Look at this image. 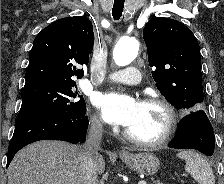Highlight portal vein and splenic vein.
<instances>
[{"instance_id":"1","label":"portal vein and splenic vein","mask_w":224,"mask_h":184,"mask_svg":"<svg viewBox=\"0 0 224 184\" xmlns=\"http://www.w3.org/2000/svg\"><path fill=\"white\" fill-rule=\"evenodd\" d=\"M138 184H147L146 181H139Z\"/></svg>"}]
</instances>
